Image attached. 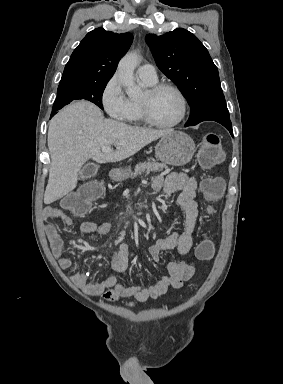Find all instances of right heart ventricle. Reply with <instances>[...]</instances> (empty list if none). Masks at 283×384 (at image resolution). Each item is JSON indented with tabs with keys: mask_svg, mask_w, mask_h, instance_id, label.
Returning <instances> with one entry per match:
<instances>
[{
	"mask_svg": "<svg viewBox=\"0 0 283 384\" xmlns=\"http://www.w3.org/2000/svg\"><path fill=\"white\" fill-rule=\"evenodd\" d=\"M144 82V81H143ZM146 85H152L155 83H146ZM129 105H130V111H129V117L128 122L131 124H141L143 122L141 114H140V107H139V101L134 99H129Z\"/></svg>",
	"mask_w": 283,
	"mask_h": 384,
	"instance_id": "obj_1",
	"label": "right heart ventricle"
}]
</instances>
